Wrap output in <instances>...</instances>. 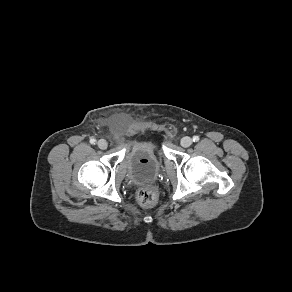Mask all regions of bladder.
<instances>
[{"label":"bladder","instance_id":"31cf9c89","mask_svg":"<svg viewBox=\"0 0 292 292\" xmlns=\"http://www.w3.org/2000/svg\"><path fill=\"white\" fill-rule=\"evenodd\" d=\"M127 178L134 183L151 182L161 171L157 146L152 142H137L125 156Z\"/></svg>","mask_w":292,"mask_h":292}]
</instances>
